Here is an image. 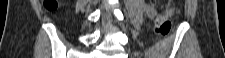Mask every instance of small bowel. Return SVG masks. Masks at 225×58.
Instances as JSON below:
<instances>
[{
    "instance_id": "c3829d8e",
    "label": "small bowel",
    "mask_w": 225,
    "mask_h": 58,
    "mask_svg": "<svg viewBox=\"0 0 225 58\" xmlns=\"http://www.w3.org/2000/svg\"><path fill=\"white\" fill-rule=\"evenodd\" d=\"M152 13H154V11H153V10L151 11V14H152Z\"/></svg>"
}]
</instances>
